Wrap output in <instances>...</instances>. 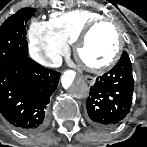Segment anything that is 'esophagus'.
Listing matches in <instances>:
<instances>
[{
	"label": "esophagus",
	"instance_id": "esophagus-1",
	"mask_svg": "<svg viewBox=\"0 0 147 147\" xmlns=\"http://www.w3.org/2000/svg\"><path fill=\"white\" fill-rule=\"evenodd\" d=\"M88 82H93V78L91 77V78H89V81Z\"/></svg>",
	"mask_w": 147,
	"mask_h": 147
}]
</instances>
